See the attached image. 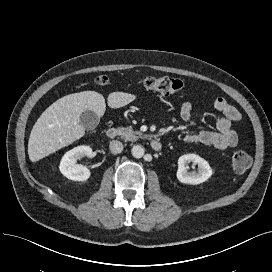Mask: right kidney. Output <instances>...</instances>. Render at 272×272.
<instances>
[{
	"label": "right kidney",
	"mask_w": 272,
	"mask_h": 272,
	"mask_svg": "<svg viewBox=\"0 0 272 272\" xmlns=\"http://www.w3.org/2000/svg\"><path fill=\"white\" fill-rule=\"evenodd\" d=\"M92 148L89 146H78L63 156L60 162V172L68 179L74 181H85L87 180L91 172L88 168L83 165L77 164V159L84 156H91Z\"/></svg>",
	"instance_id": "right-kidney-1"
}]
</instances>
